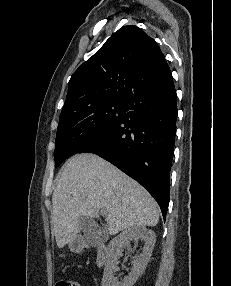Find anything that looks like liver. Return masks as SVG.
I'll use <instances>...</instances> for the list:
<instances>
[{"label":"liver","instance_id":"liver-1","mask_svg":"<svg viewBox=\"0 0 231 286\" xmlns=\"http://www.w3.org/2000/svg\"><path fill=\"white\" fill-rule=\"evenodd\" d=\"M53 226L59 248L73 241L81 216L98 218L107 211L110 235L135 227L155 226L159 206L134 179L101 157L83 153L70 158L52 196Z\"/></svg>","mask_w":231,"mask_h":286}]
</instances>
